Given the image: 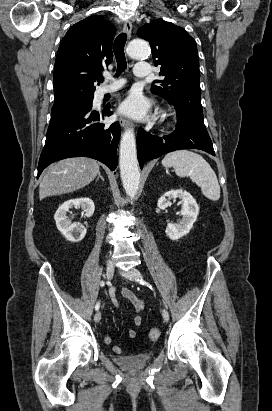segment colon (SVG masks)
Returning <instances> with one entry per match:
<instances>
[{
    "mask_svg": "<svg viewBox=\"0 0 272 411\" xmlns=\"http://www.w3.org/2000/svg\"><path fill=\"white\" fill-rule=\"evenodd\" d=\"M160 334L161 332L158 328H152L149 332V339L155 341L160 337Z\"/></svg>",
    "mask_w": 272,
    "mask_h": 411,
    "instance_id": "1",
    "label": "colon"
}]
</instances>
